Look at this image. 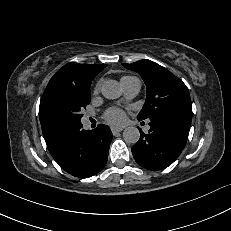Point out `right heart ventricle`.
I'll use <instances>...</instances> for the list:
<instances>
[{"label": "right heart ventricle", "instance_id": "obj_1", "mask_svg": "<svg viewBox=\"0 0 231 231\" xmlns=\"http://www.w3.org/2000/svg\"><path fill=\"white\" fill-rule=\"evenodd\" d=\"M127 78V76L123 77L122 79Z\"/></svg>", "mask_w": 231, "mask_h": 231}]
</instances>
